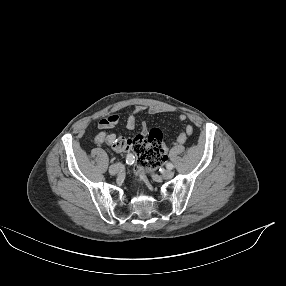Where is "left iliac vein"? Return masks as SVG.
I'll return each mask as SVG.
<instances>
[{
	"mask_svg": "<svg viewBox=\"0 0 286 286\" xmlns=\"http://www.w3.org/2000/svg\"><path fill=\"white\" fill-rule=\"evenodd\" d=\"M174 173L170 170H165L163 173H162V176L165 178V179H171L173 177Z\"/></svg>",
	"mask_w": 286,
	"mask_h": 286,
	"instance_id": "obj_1",
	"label": "left iliac vein"
}]
</instances>
